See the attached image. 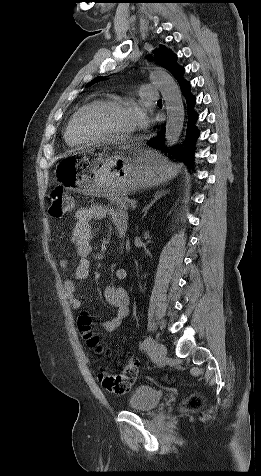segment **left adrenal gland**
Instances as JSON below:
<instances>
[{
    "instance_id": "obj_1",
    "label": "left adrenal gland",
    "mask_w": 261,
    "mask_h": 476,
    "mask_svg": "<svg viewBox=\"0 0 261 476\" xmlns=\"http://www.w3.org/2000/svg\"><path fill=\"white\" fill-rule=\"evenodd\" d=\"M167 194V191H164V190H161V191H157L154 195V198L150 201L149 204H147L144 209H143V216H146L147 215V212L148 210L150 209V207H152V205L158 200L160 199L162 196H165Z\"/></svg>"
}]
</instances>
